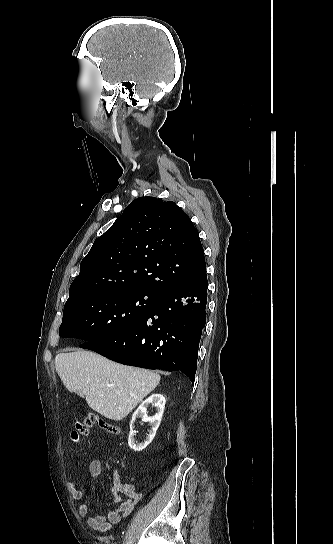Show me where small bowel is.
Segmentation results:
<instances>
[{
	"label": "small bowel",
	"instance_id": "small-bowel-1",
	"mask_svg": "<svg viewBox=\"0 0 333 544\" xmlns=\"http://www.w3.org/2000/svg\"><path fill=\"white\" fill-rule=\"evenodd\" d=\"M102 462L100 459H93L89 464L90 474L98 478L102 472ZM111 493L116 495L122 493L125 499L119 501L116 507L110 509L106 514H95L88 518V525L98 532H106L113 525L118 524L123 518L129 516L137 503L141 499V494L137 493L132 484L123 483L117 471L112 474ZM67 489L72 497L79 502L78 514L85 517L88 514V505L83 501L84 491L76 486L73 481H68Z\"/></svg>",
	"mask_w": 333,
	"mask_h": 544
}]
</instances>
